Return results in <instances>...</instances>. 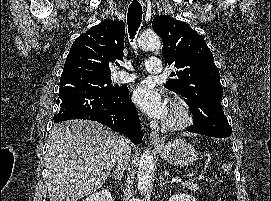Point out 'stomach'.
I'll use <instances>...</instances> for the list:
<instances>
[{
	"label": "stomach",
	"mask_w": 271,
	"mask_h": 201,
	"mask_svg": "<svg viewBox=\"0 0 271 201\" xmlns=\"http://www.w3.org/2000/svg\"><path fill=\"white\" fill-rule=\"evenodd\" d=\"M157 148L159 149L163 160L174 166H189L198 158V153L195 148L186 140L182 139L157 146Z\"/></svg>",
	"instance_id": "0dacf381"
}]
</instances>
